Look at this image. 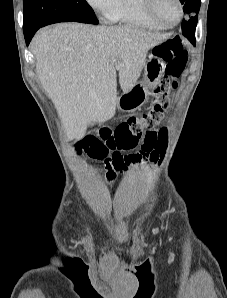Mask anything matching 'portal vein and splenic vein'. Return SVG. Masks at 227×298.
I'll list each match as a JSON object with an SVG mask.
<instances>
[{
	"label": "portal vein and splenic vein",
	"mask_w": 227,
	"mask_h": 298,
	"mask_svg": "<svg viewBox=\"0 0 227 298\" xmlns=\"http://www.w3.org/2000/svg\"><path fill=\"white\" fill-rule=\"evenodd\" d=\"M116 62V60L115 59H112V63H115Z\"/></svg>",
	"instance_id": "1"
}]
</instances>
